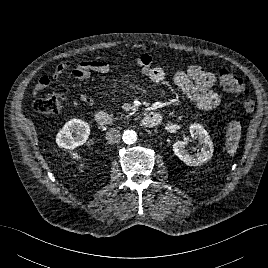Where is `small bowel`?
<instances>
[{
  "label": "small bowel",
  "instance_id": "c3829d8e",
  "mask_svg": "<svg viewBox=\"0 0 268 268\" xmlns=\"http://www.w3.org/2000/svg\"><path fill=\"white\" fill-rule=\"evenodd\" d=\"M152 62L148 53H142L136 58L141 75L154 83H160L164 81L166 72L162 67L153 66ZM110 70L111 63L107 59H66L57 65L51 78L44 76L38 80L32 94L41 92L49 86L51 79L58 80L67 72L78 80H86L93 72L107 73ZM173 82L199 109H213L219 102V96L213 89L214 76L201 66L190 65L186 70L174 71ZM81 100L88 105L94 103V98L87 94H82Z\"/></svg>",
  "mask_w": 268,
  "mask_h": 268
}]
</instances>
